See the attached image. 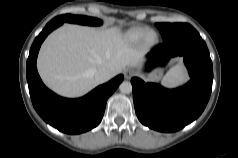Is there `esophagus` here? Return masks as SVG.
<instances>
[{"label":"esophagus","mask_w":238,"mask_h":158,"mask_svg":"<svg viewBox=\"0 0 238 158\" xmlns=\"http://www.w3.org/2000/svg\"><path fill=\"white\" fill-rule=\"evenodd\" d=\"M124 75H125L126 79H130L132 76L135 75V72H134L133 69L128 68V69L125 70Z\"/></svg>","instance_id":"obj_1"}]
</instances>
